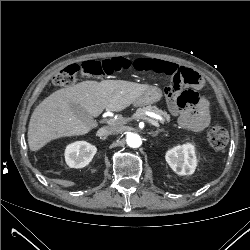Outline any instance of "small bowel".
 <instances>
[{
	"mask_svg": "<svg viewBox=\"0 0 250 250\" xmlns=\"http://www.w3.org/2000/svg\"><path fill=\"white\" fill-rule=\"evenodd\" d=\"M132 68L139 71L151 70L157 73L173 75L183 67L169 61L141 57L133 60ZM169 107L172 114L178 115L179 123L183 128L201 132L210 124V106L205 98H202L194 108H184L182 104L170 98Z\"/></svg>",
	"mask_w": 250,
	"mask_h": 250,
	"instance_id": "1",
	"label": "small bowel"
}]
</instances>
